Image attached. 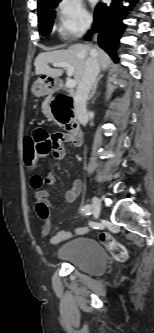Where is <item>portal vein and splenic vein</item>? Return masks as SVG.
Instances as JSON below:
<instances>
[{"label": "portal vein and splenic vein", "instance_id": "18ae733b", "mask_svg": "<svg viewBox=\"0 0 154 333\" xmlns=\"http://www.w3.org/2000/svg\"><path fill=\"white\" fill-rule=\"evenodd\" d=\"M54 67L67 68V75L70 77L74 74V67L66 62L52 63ZM77 85V82L74 79H68L66 81L67 88H74Z\"/></svg>", "mask_w": 154, "mask_h": 333}]
</instances>
